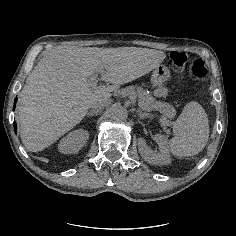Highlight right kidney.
Returning a JSON list of instances; mask_svg holds the SVG:
<instances>
[{
  "instance_id": "obj_1",
  "label": "right kidney",
  "mask_w": 236,
  "mask_h": 236,
  "mask_svg": "<svg viewBox=\"0 0 236 236\" xmlns=\"http://www.w3.org/2000/svg\"><path fill=\"white\" fill-rule=\"evenodd\" d=\"M88 138V131L74 130L60 140L58 150L63 154H76L85 145Z\"/></svg>"
}]
</instances>
